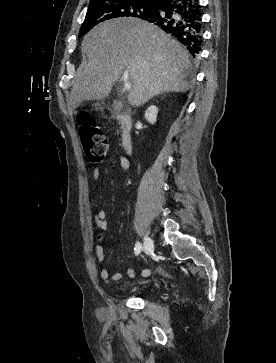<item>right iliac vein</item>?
<instances>
[{"mask_svg":"<svg viewBox=\"0 0 276 363\" xmlns=\"http://www.w3.org/2000/svg\"><path fill=\"white\" fill-rule=\"evenodd\" d=\"M154 250L153 240L149 236L144 238V251L147 255L151 254Z\"/></svg>","mask_w":276,"mask_h":363,"instance_id":"63e3f726","label":"right iliac vein"}]
</instances>
